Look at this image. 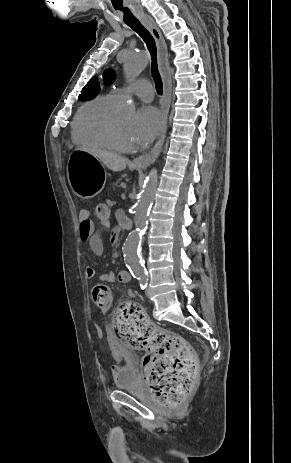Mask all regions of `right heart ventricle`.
Segmentation results:
<instances>
[{"label":"right heart ventricle","instance_id":"e07e8e85","mask_svg":"<svg viewBox=\"0 0 291 463\" xmlns=\"http://www.w3.org/2000/svg\"><path fill=\"white\" fill-rule=\"evenodd\" d=\"M117 104L111 92L83 104L72 124L73 141L88 149H113L107 136V127L113 119Z\"/></svg>","mask_w":291,"mask_h":463}]
</instances>
